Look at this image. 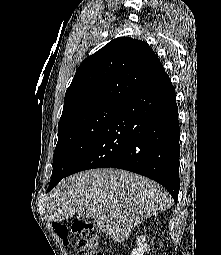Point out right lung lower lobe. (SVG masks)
Listing matches in <instances>:
<instances>
[{
  "instance_id": "98d812e1",
  "label": "right lung lower lobe",
  "mask_w": 221,
  "mask_h": 255,
  "mask_svg": "<svg viewBox=\"0 0 221 255\" xmlns=\"http://www.w3.org/2000/svg\"><path fill=\"white\" fill-rule=\"evenodd\" d=\"M175 97L164 72L119 105L66 176L93 168H120L157 181L177 203L180 128Z\"/></svg>"
}]
</instances>
